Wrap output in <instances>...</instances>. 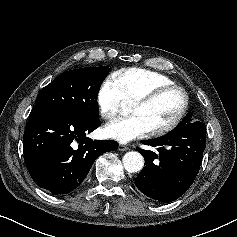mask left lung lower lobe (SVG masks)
Returning a JSON list of instances; mask_svg holds the SVG:
<instances>
[{
	"label": "left lung lower lobe",
	"mask_w": 237,
	"mask_h": 237,
	"mask_svg": "<svg viewBox=\"0 0 237 237\" xmlns=\"http://www.w3.org/2000/svg\"><path fill=\"white\" fill-rule=\"evenodd\" d=\"M188 113L170 133L142 144L157 151L138 148L145 159V167L135 179L136 187L146 196L172 202L191 186L199 172L206 143V126L192 120Z\"/></svg>",
	"instance_id": "left-lung-lower-lobe-1"
}]
</instances>
